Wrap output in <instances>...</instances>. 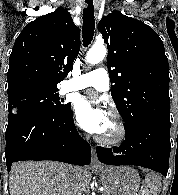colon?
Segmentation results:
<instances>
[{
	"mask_svg": "<svg viewBox=\"0 0 178 195\" xmlns=\"http://www.w3.org/2000/svg\"><path fill=\"white\" fill-rule=\"evenodd\" d=\"M141 195H154V194L149 190H144Z\"/></svg>",
	"mask_w": 178,
	"mask_h": 195,
	"instance_id": "1",
	"label": "colon"
}]
</instances>
